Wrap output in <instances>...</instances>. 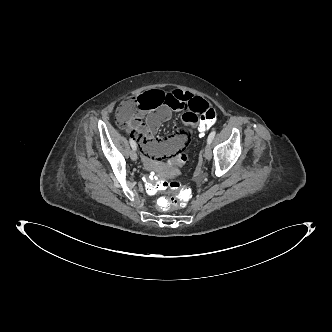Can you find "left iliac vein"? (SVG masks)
Masks as SVG:
<instances>
[{
  "label": "left iliac vein",
  "instance_id": "left-iliac-vein-1",
  "mask_svg": "<svg viewBox=\"0 0 332 332\" xmlns=\"http://www.w3.org/2000/svg\"><path fill=\"white\" fill-rule=\"evenodd\" d=\"M204 157L207 160H210L212 158V151H211V147L210 144L207 143V145L204 148Z\"/></svg>",
  "mask_w": 332,
  "mask_h": 332
}]
</instances>
